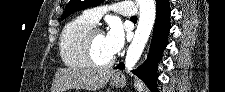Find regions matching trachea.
Wrapping results in <instances>:
<instances>
[{"label":"trachea","instance_id":"1","mask_svg":"<svg viewBox=\"0 0 225 92\" xmlns=\"http://www.w3.org/2000/svg\"><path fill=\"white\" fill-rule=\"evenodd\" d=\"M132 19H137V17L136 16H133Z\"/></svg>","mask_w":225,"mask_h":92}]
</instances>
